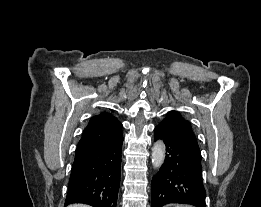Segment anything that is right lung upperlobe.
Wrapping results in <instances>:
<instances>
[{
    "instance_id": "obj_1",
    "label": "right lung upper lobe",
    "mask_w": 261,
    "mask_h": 207,
    "mask_svg": "<svg viewBox=\"0 0 261 207\" xmlns=\"http://www.w3.org/2000/svg\"><path fill=\"white\" fill-rule=\"evenodd\" d=\"M121 129L122 124L108 112L93 116L83 131L75 153L92 150L117 141L123 137Z\"/></svg>"
}]
</instances>
